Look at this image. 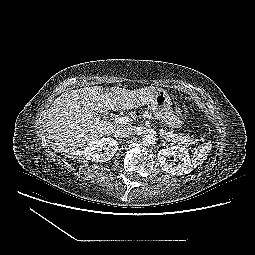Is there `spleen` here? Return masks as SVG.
I'll use <instances>...</instances> for the list:
<instances>
[{
    "instance_id": "3e777b00",
    "label": "spleen",
    "mask_w": 255,
    "mask_h": 255,
    "mask_svg": "<svg viewBox=\"0 0 255 255\" xmlns=\"http://www.w3.org/2000/svg\"><path fill=\"white\" fill-rule=\"evenodd\" d=\"M212 148V144L211 142H207L206 144L204 145H200L196 150H195V155H194V158H193V164L195 166L201 164L202 161H204L207 156H208V153L210 152Z\"/></svg>"
}]
</instances>
